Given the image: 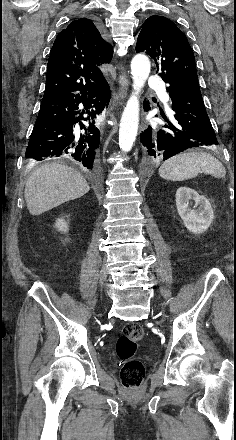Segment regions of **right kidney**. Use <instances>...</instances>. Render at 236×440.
I'll list each match as a JSON object with an SVG mask.
<instances>
[{
    "instance_id": "obj_1",
    "label": "right kidney",
    "mask_w": 236,
    "mask_h": 440,
    "mask_svg": "<svg viewBox=\"0 0 236 440\" xmlns=\"http://www.w3.org/2000/svg\"><path fill=\"white\" fill-rule=\"evenodd\" d=\"M55 227L61 232H67L69 230L68 222L64 218H58Z\"/></svg>"
}]
</instances>
